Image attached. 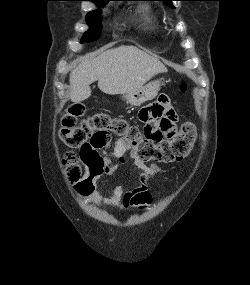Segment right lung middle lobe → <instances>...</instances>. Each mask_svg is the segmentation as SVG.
<instances>
[{
    "mask_svg": "<svg viewBox=\"0 0 250 285\" xmlns=\"http://www.w3.org/2000/svg\"><path fill=\"white\" fill-rule=\"evenodd\" d=\"M106 3H98L99 6H104ZM86 21L90 23V29L84 34L82 37L81 43L85 42H93L97 40L101 34V21L102 17L100 12L93 11L87 14Z\"/></svg>",
    "mask_w": 250,
    "mask_h": 285,
    "instance_id": "obj_1",
    "label": "right lung middle lobe"
}]
</instances>
